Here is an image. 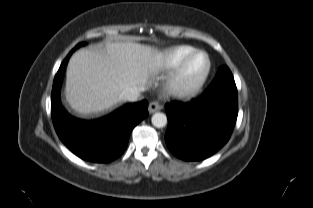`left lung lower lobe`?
<instances>
[{
	"instance_id": "left-lung-lower-lobe-1",
	"label": "left lung lower lobe",
	"mask_w": 313,
	"mask_h": 208,
	"mask_svg": "<svg viewBox=\"0 0 313 208\" xmlns=\"http://www.w3.org/2000/svg\"><path fill=\"white\" fill-rule=\"evenodd\" d=\"M168 149L186 161L206 159L229 140L238 115L235 82L214 79L190 103L166 104Z\"/></svg>"
}]
</instances>
